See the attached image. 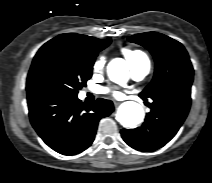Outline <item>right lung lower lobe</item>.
Instances as JSON below:
<instances>
[{
	"label": "right lung lower lobe",
	"mask_w": 212,
	"mask_h": 183,
	"mask_svg": "<svg viewBox=\"0 0 212 183\" xmlns=\"http://www.w3.org/2000/svg\"><path fill=\"white\" fill-rule=\"evenodd\" d=\"M30 121L38 135L53 150L73 155L93 142L101 118L113 112L110 100L98 99L85 106L77 96L41 93L27 97Z\"/></svg>",
	"instance_id": "98d812e1"
}]
</instances>
